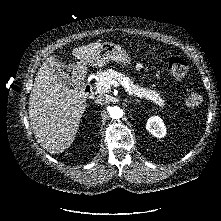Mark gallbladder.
<instances>
[{
    "label": "gallbladder",
    "instance_id": "1",
    "mask_svg": "<svg viewBox=\"0 0 221 221\" xmlns=\"http://www.w3.org/2000/svg\"><path fill=\"white\" fill-rule=\"evenodd\" d=\"M54 73L59 76V81L62 82L63 84H66V85H70L71 84V81L69 79V77L63 73V71L61 69H58L56 67H54Z\"/></svg>",
    "mask_w": 221,
    "mask_h": 221
}]
</instances>
